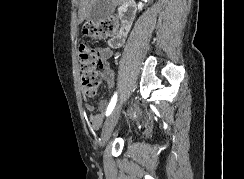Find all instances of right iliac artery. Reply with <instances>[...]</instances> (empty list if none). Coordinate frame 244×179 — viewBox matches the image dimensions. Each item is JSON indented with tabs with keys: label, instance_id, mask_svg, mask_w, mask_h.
<instances>
[{
	"label": "right iliac artery",
	"instance_id": "82829eb1",
	"mask_svg": "<svg viewBox=\"0 0 244 179\" xmlns=\"http://www.w3.org/2000/svg\"><path fill=\"white\" fill-rule=\"evenodd\" d=\"M116 101H117V93L114 94V96L112 97V99L109 103V106L106 111V116H109L111 114V112L113 111V109L116 105Z\"/></svg>",
	"mask_w": 244,
	"mask_h": 179
}]
</instances>
